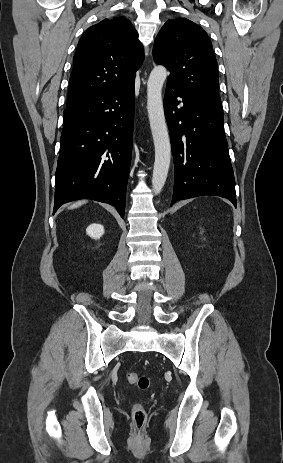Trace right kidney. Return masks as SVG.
<instances>
[{"mask_svg":"<svg viewBox=\"0 0 283 463\" xmlns=\"http://www.w3.org/2000/svg\"><path fill=\"white\" fill-rule=\"evenodd\" d=\"M86 233L93 239H99L104 234V227L101 224H91L87 227Z\"/></svg>","mask_w":283,"mask_h":463,"instance_id":"right-kidney-1","label":"right kidney"}]
</instances>
